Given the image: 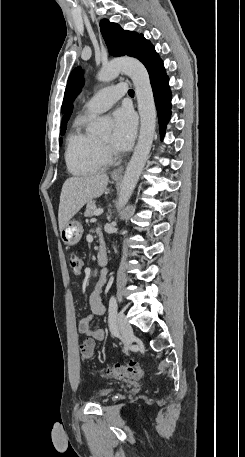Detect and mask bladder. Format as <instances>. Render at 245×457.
<instances>
[{
	"instance_id": "obj_1",
	"label": "bladder",
	"mask_w": 245,
	"mask_h": 457,
	"mask_svg": "<svg viewBox=\"0 0 245 457\" xmlns=\"http://www.w3.org/2000/svg\"><path fill=\"white\" fill-rule=\"evenodd\" d=\"M109 394H110V391H109V390H101V391L99 392V397H100V398H106Z\"/></svg>"
}]
</instances>
